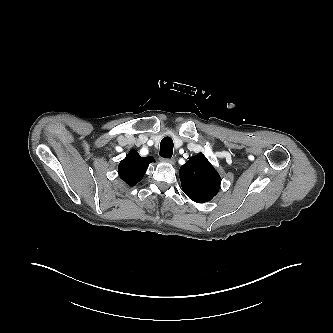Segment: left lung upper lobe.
Wrapping results in <instances>:
<instances>
[{"label":"left lung upper lobe","mask_w":333,"mask_h":333,"mask_svg":"<svg viewBox=\"0 0 333 333\" xmlns=\"http://www.w3.org/2000/svg\"><path fill=\"white\" fill-rule=\"evenodd\" d=\"M179 177L185 194L197 203L210 201L220 188V176L203 154L182 165Z\"/></svg>","instance_id":"1"}]
</instances>
